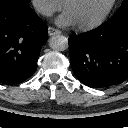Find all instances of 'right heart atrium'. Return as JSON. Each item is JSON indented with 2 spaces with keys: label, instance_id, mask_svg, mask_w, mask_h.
<instances>
[{
  "label": "right heart atrium",
  "instance_id": "d8ad5b80",
  "mask_svg": "<svg viewBox=\"0 0 128 128\" xmlns=\"http://www.w3.org/2000/svg\"><path fill=\"white\" fill-rule=\"evenodd\" d=\"M35 9L45 17L53 15L62 8L61 0H32Z\"/></svg>",
  "mask_w": 128,
  "mask_h": 128
}]
</instances>
